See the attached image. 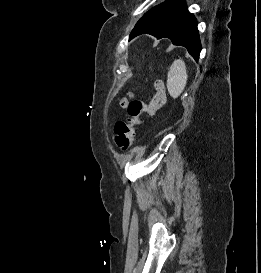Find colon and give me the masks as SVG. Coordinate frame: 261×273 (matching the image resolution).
I'll use <instances>...</instances> for the list:
<instances>
[{
  "label": "colon",
  "mask_w": 261,
  "mask_h": 273,
  "mask_svg": "<svg viewBox=\"0 0 261 273\" xmlns=\"http://www.w3.org/2000/svg\"><path fill=\"white\" fill-rule=\"evenodd\" d=\"M154 86L155 93L148 103L130 98L121 101V105L127 108L128 118L125 121H118L114 126V141L119 149L127 150L131 147L142 116L152 117L164 106L166 102L164 84L158 79Z\"/></svg>",
  "instance_id": "1"
}]
</instances>
